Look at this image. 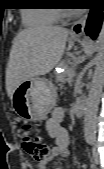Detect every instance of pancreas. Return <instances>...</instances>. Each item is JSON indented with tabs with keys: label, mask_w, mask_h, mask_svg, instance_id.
Instances as JSON below:
<instances>
[{
	"label": "pancreas",
	"mask_w": 104,
	"mask_h": 169,
	"mask_svg": "<svg viewBox=\"0 0 104 169\" xmlns=\"http://www.w3.org/2000/svg\"><path fill=\"white\" fill-rule=\"evenodd\" d=\"M65 72L63 74H57V79L61 82L66 81L71 75V71L75 68L71 63L64 65Z\"/></svg>",
	"instance_id": "obj_1"
}]
</instances>
